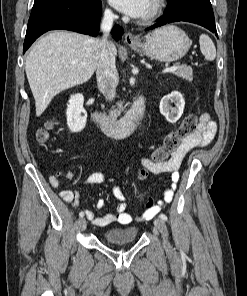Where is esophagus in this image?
<instances>
[{
	"label": "esophagus",
	"instance_id": "obj_1",
	"mask_svg": "<svg viewBox=\"0 0 247 296\" xmlns=\"http://www.w3.org/2000/svg\"><path fill=\"white\" fill-rule=\"evenodd\" d=\"M138 41H139V39H138L135 35H133L132 33L127 32V33L125 34V42H126L127 44H135V43H137Z\"/></svg>",
	"mask_w": 247,
	"mask_h": 296
}]
</instances>
